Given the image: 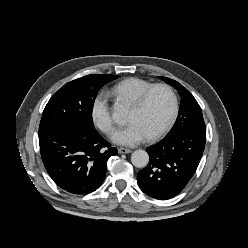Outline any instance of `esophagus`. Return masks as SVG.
<instances>
[{
  "label": "esophagus",
  "instance_id": "1",
  "mask_svg": "<svg viewBox=\"0 0 248 248\" xmlns=\"http://www.w3.org/2000/svg\"><path fill=\"white\" fill-rule=\"evenodd\" d=\"M118 152H119V154H128V153L131 152V150L128 149V148L121 147V148L118 149Z\"/></svg>",
  "mask_w": 248,
  "mask_h": 248
}]
</instances>
